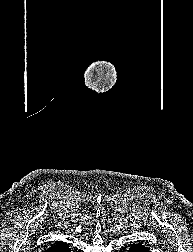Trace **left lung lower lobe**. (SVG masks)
Returning a JSON list of instances; mask_svg holds the SVG:
<instances>
[{"label":"left lung lower lobe","instance_id":"obj_1","mask_svg":"<svg viewBox=\"0 0 193 252\" xmlns=\"http://www.w3.org/2000/svg\"><path fill=\"white\" fill-rule=\"evenodd\" d=\"M128 252H150L148 248L141 244H134Z\"/></svg>","mask_w":193,"mask_h":252}]
</instances>
